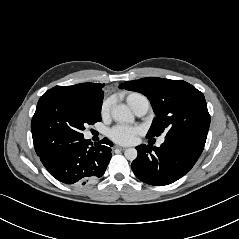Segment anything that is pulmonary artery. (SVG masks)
Returning a JSON list of instances; mask_svg holds the SVG:
<instances>
[{"label": "pulmonary artery", "instance_id": "pulmonary-artery-1", "mask_svg": "<svg viewBox=\"0 0 239 239\" xmlns=\"http://www.w3.org/2000/svg\"><path fill=\"white\" fill-rule=\"evenodd\" d=\"M149 108H150V103L148 99L146 97H142L138 100L136 107L134 109V112L138 116H143L148 112ZM164 141H165L164 137H161L158 140V145H161Z\"/></svg>", "mask_w": 239, "mask_h": 239}]
</instances>
